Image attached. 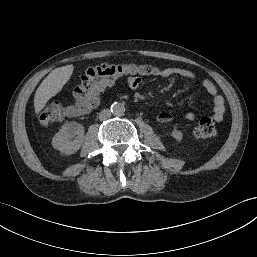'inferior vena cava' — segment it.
Masks as SVG:
<instances>
[{"label":"inferior vena cava","mask_w":257,"mask_h":257,"mask_svg":"<svg viewBox=\"0 0 257 257\" xmlns=\"http://www.w3.org/2000/svg\"><path fill=\"white\" fill-rule=\"evenodd\" d=\"M111 111L109 109H104L99 113L100 120H106L111 117Z\"/></svg>","instance_id":"obj_1"}]
</instances>
